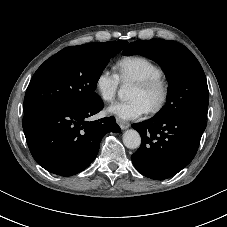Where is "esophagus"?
I'll return each instance as SVG.
<instances>
[{
  "label": "esophagus",
  "mask_w": 227,
  "mask_h": 227,
  "mask_svg": "<svg viewBox=\"0 0 227 227\" xmlns=\"http://www.w3.org/2000/svg\"><path fill=\"white\" fill-rule=\"evenodd\" d=\"M116 122H117V124L119 125V127L121 128V129H127L129 126H130V124L128 123V122H126V121H123V120H121V119H119V118H117L116 119Z\"/></svg>",
  "instance_id": "obj_1"
}]
</instances>
